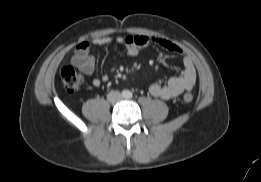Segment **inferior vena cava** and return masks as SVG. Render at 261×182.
<instances>
[{"mask_svg":"<svg viewBox=\"0 0 261 182\" xmlns=\"http://www.w3.org/2000/svg\"><path fill=\"white\" fill-rule=\"evenodd\" d=\"M122 98V95L119 91H111L107 95V100L111 103H115Z\"/></svg>","mask_w":261,"mask_h":182,"instance_id":"602c4592","label":"inferior vena cava"}]
</instances>
